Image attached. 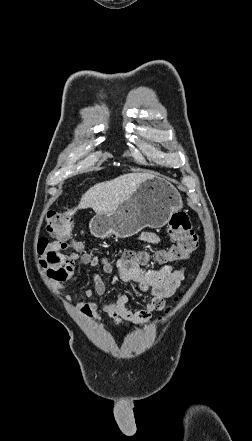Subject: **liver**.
Listing matches in <instances>:
<instances>
[{
  "label": "liver",
  "mask_w": 252,
  "mask_h": 441,
  "mask_svg": "<svg viewBox=\"0 0 252 441\" xmlns=\"http://www.w3.org/2000/svg\"><path fill=\"white\" fill-rule=\"evenodd\" d=\"M153 177L149 173H128L97 183L82 195L78 206L68 210L65 215L71 216L79 209L87 208H92L96 213H112L143 181Z\"/></svg>",
  "instance_id": "1"
}]
</instances>
